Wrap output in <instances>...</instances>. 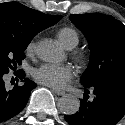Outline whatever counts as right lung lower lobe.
<instances>
[{
	"label": "right lung lower lobe",
	"mask_w": 125,
	"mask_h": 125,
	"mask_svg": "<svg viewBox=\"0 0 125 125\" xmlns=\"http://www.w3.org/2000/svg\"><path fill=\"white\" fill-rule=\"evenodd\" d=\"M0 72V122L6 121L21 112L26 106L31 90L36 87V83L25 78L22 70L15 72L17 82L9 90L5 87L4 75Z\"/></svg>",
	"instance_id": "obj_1"
}]
</instances>
